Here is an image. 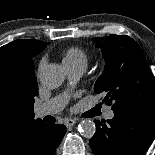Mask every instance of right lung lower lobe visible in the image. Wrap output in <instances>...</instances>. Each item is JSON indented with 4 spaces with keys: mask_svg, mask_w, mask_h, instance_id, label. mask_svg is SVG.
Instances as JSON below:
<instances>
[{
    "mask_svg": "<svg viewBox=\"0 0 155 155\" xmlns=\"http://www.w3.org/2000/svg\"><path fill=\"white\" fill-rule=\"evenodd\" d=\"M66 133V127L40 123L23 136L13 155H53Z\"/></svg>",
    "mask_w": 155,
    "mask_h": 155,
    "instance_id": "obj_1",
    "label": "right lung lower lobe"
}]
</instances>
